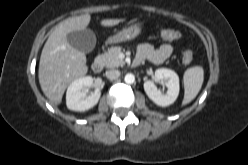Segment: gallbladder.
<instances>
[{"label": "gallbladder", "mask_w": 248, "mask_h": 165, "mask_svg": "<svg viewBox=\"0 0 248 165\" xmlns=\"http://www.w3.org/2000/svg\"><path fill=\"white\" fill-rule=\"evenodd\" d=\"M67 40L72 47L85 53L91 52L96 45V36L90 29L69 32Z\"/></svg>", "instance_id": "obj_1"}]
</instances>
